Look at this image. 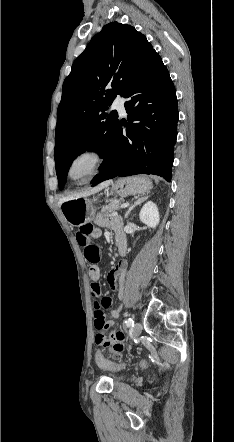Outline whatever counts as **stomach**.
<instances>
[{
    "label": "stomach",
    "instance_id": "obj_1",
    "mask_svg": "<svg viewBox=\"0 0 234 442\" xmlns=\"http://www.w3.org/2000/svg\"><path fill=\"white\" fill-rule=\"evenodd\" d=\"M152 188V182L144 176L120 178L112 184L111 193L119 196L145 194ZM96 199L79 197L65 201L61 210L65 219L73 226L84 225L91 222L96 213L94 202Z\"/></svg>",
    "mask_w": 234,
    "mask_h": 442
}]
</instances>
